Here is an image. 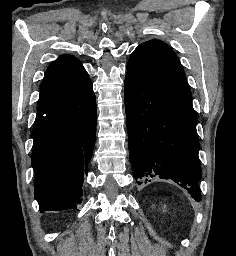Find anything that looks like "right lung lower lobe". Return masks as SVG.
Returning a JSON list of instances; mask_svg holds the SVG:
<instances>
[{
  "instance_id": "98d812e1",
  "label": "right lung lower lobe",
  "mask_w": 236,
  "mask_h": 256,
  "mask_svg": "<svg viewBox=\"0 0 236 256\" xmlns=\"http://www.w3.org/2000/svg\"><path fill=\"white\" fill-rule=\"evenodd\" d=\"M96 100L91 80L37 114L32 166L41 212L76 209L96 135Z\"/></svg>"
}]
</instances>
